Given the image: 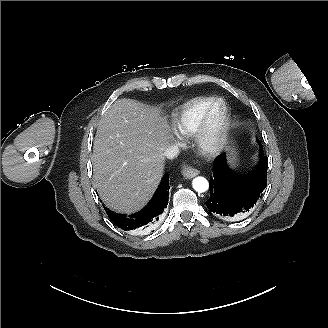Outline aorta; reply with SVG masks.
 <instances>
[{"label":"aorta","mask_w":328,"mask_h":328,"mask_svg":"<svg viewBox=\"0 0 328 328\" xmlns=\"http://www.w3.org/2000/svg\"><path fill=\"white\" fill-rule=\"evenodd\" d=\"M192 186L198 193H203L208 190L209 183L206 178L199 176L193 179Z\"/></svg>","instance_id":"aorta-1"}]
</instances>
